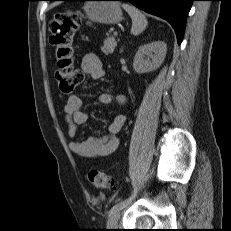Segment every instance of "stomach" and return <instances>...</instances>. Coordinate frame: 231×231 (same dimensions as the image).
Instances as JSON below:
<instances>
[{
	"label": "stomach",
	"instance_id": "stomach-1",
	"mask_svg": "<svg viewBox=\"0 0 231 231\" xmlns=\"http://www.w3.org/2000/svg\"><path fill=\"white\" fill-rule=\"evenodd\" d=\"M84 11L93 22L116 24L122 19V11L117 2L92 0L85 3Z\"/></svg>",
	"mask_w": 231,
	"mask_h": 231
}]
</instances>
